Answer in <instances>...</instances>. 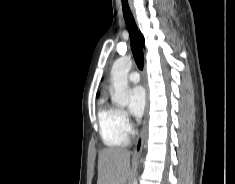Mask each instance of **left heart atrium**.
Here are the masks:
<instances>
[{"mask_svg": "<svg viewBox=\"0 0 235 184\" xmlns=\"http://www.w3.org/2000/svg\"><path fill=\"white\" fill-rule=\"evenodd\" d=\"M146 94L143 88L135 87L130 91L129 111L134 118H140L145 110Z\"/></svg>", "mask_w": 235, "mask_h": 184, "instance_id": "left-heart-atrium-1", "label": "left heart atrium"}]
</instances>
